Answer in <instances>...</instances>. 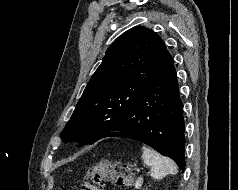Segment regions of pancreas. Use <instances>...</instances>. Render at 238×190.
<instances>
[{
  "label": "pancreas",
  "mask_w": 238,
  "mask_h": 190,
  "mask_svg": "<svg viewBox=\"0 0 238 190\" xmlns=\"http://www.w3.org/2000/svg\"><path fill=\"white\" fill-rule=\"evenodd\" d=\"M143 183V179L142 178H138L134 184V186L138 189L142 186Z\"/></svg>",
  "instance_id": "1"
}]
</instances>
